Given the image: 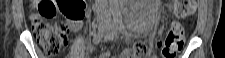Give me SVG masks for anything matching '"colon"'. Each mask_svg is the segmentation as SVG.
I'll return each instance as SVG.
<instances>
[{
  "label": "colon",
  "instance_id": "obj_1",
  "mask_svg": "<svg viewBox=\"0 0 225 58\" xmlns=\"http://www.w3.org/2000/svg\"><path fill=\"white\" fill-rule=\"evenodd\" d=\"M30 17L32 29L38 43L49 56L57 55L68 42V29L61 21H54L58 10L71 21H80L86 14L82 0H35L32 1ZM194 12L193 0L173 1V13L177 18H185ZM185 31L181 26L173 25L164 40L157 41L162 58H175L183 47ZM146 52L144 44H137L124 50L118 58H140Z\"/></svg>",
  "mask_w": 225,
  "mask_h": 58
}]
</instances>
